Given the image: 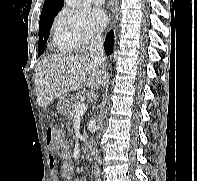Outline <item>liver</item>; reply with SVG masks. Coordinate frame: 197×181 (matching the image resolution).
Here are the masks:
<instances>
[{
	"instance_id": "obj_1",
	"label": "liver",
	"mask_w": 197,
	"mask_h": 181,
	"mask_svg": "<svg viewBox=\"0 0 197 181\" xmlns=\"http://www.w3.org/2000/svg\"><path fill=\"white\" fill-rule=\"evenodd\" d=\"M106 73L85 55L58 54L42 59L35 68L34 84L37 102L42 108L56 98L83 86L100 89Z\"/></svg>"
}]
</instances>
